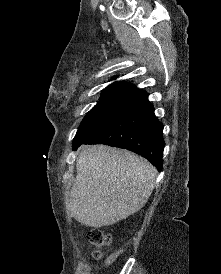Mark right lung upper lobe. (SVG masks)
Here are the masks:
<instances>
[{
	"label": "right lung upper lobe",
	"instance_id": "1",
	"mask_svg": "<svg viewBox=\"0 0 221 274\" xmlns=\"http://www.w3.org/2000/svg\"><path fill=\"white\" fill-rule=\"evenodd\" d=\"M145 94L146 92L141 89L124 84L123 82H115L103 90L100 99H121L134 102Z\"/></svg>",
	"mask_w": 221,
	"mask_h": 274
}]
</instances>
